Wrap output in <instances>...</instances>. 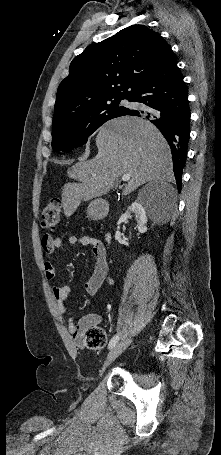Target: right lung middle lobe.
<instances>
[{
    "mask_svg": "<svg viewBox=\"0 0 221 455\" xmlns=\"http://www.w3.org/2000/svg\"><path fill=\"white\" fill-rule=\"evenodd\" d=\"M122 99L128 98L110 99L54 122L52 148L57 152H69L73 148L85 144L88 136L106 121L126 114L129 109L119 106Z\"/></svg>",
    "mask_w": 221,
    "mask_h": 455,
    "instance_id": "obj_1",
    "label": "right lung middle lobe"
}]
</instances>
